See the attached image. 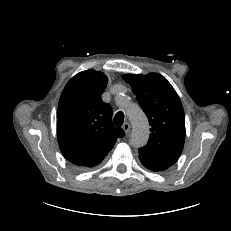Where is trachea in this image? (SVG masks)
Listing matches in <instances>:
<instances>
[{
    "mask_svg": "<svg viewBox=\"0 0 231 231\" xmlns=\"http://www.w3.org/2000/svg\"><path fill=\"white\" fill-rule=\"evenodd\" d=\"M124 122V114L123 112H117L114 116V123L116 126H122Z\"/></svg>",
    "mask_w": 231,
    "mask_h": 231,
    "instance_id": "obj_1",
    "label": "trachea"
}]
</instances>
